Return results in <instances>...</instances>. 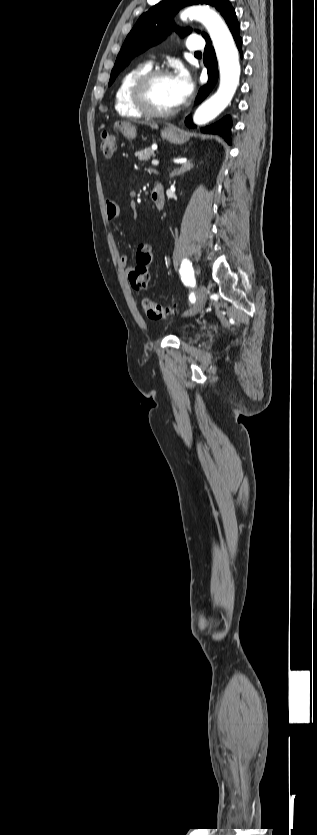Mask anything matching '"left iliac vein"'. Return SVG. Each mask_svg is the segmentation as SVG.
I'll return each instance as SVG.
<instances>
[{
    "instance_id": "left-iliac-vein-1",
    "label": "left iliac vein",
    "mask_w": 317,
    "mask_h": 835,
    "mask_svg": "<svg viewBox=\"0 0 317 835\" xmlns=\"http://www.w3.org/2000/svg\"><path fill=\"white\" fill-rule=\"evenodd\" d=\"M207 294H208L207 288L204 285H201L198 288L197 293H196L195 305L189 311H187L185 313V315L186 316H192V315H195V314L199 313L204 306Z\"/></svg>"
}]
</instances>
